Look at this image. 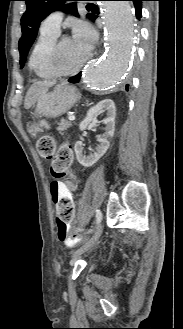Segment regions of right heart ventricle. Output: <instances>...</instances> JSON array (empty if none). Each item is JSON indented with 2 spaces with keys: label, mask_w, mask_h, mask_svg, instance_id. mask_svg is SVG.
<instances>
[{
  "label": "right heart ventricle",
  "mask_w": 183,
  "mask_h": 329,
  "mask_svg": "<svg viewBox=\"0 0 183 329\" xmlns=\"http://www.w3.org/2000/svg\"><path fill=\"white\" fill-rule=\"evenodd\" d=\"M58 34L40 31L29 56V67L41 79L57 77L50 66L51 50L57 41Z\"/></svg>",
  "instance_id": "e07e8e85"
}]
</instances>
